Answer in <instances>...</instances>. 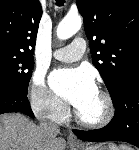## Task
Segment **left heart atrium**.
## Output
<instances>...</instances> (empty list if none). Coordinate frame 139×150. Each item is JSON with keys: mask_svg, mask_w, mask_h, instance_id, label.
<instances>
[{"mask_svg": "<svg viewBox=\"0 0 139 150\" xmlns=\"http://www.w3.org/2000/svg\"><path fill=\"white\" fill-rule=\"evenodd\" d=\"M50 85L55 93L76 108L97 92L92 74L83 68L54 71L50 76Z\"/></svg>", "mask_w": 139, "mask_h": 150, "instance_id": "1", "label": "left heart atrium"}]
</instances>
